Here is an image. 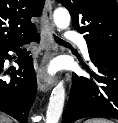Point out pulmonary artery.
Listing matches in <instances>:
<instances>
[{"label": "pulmonary artery", "mask_w": 118, "mask_h": 123, "mask_svg": "<svg viewBox=\"0 0 118 123\" xmlns=\"http://www.w3.org/2000/svg\"><path fill=\"white\" fill-rule=\"evenodd\" d=\"M67 38H69L71 40H74L76 42V44L79 46V48L81 49L83 55L87 59L90 58L87 42L83 37H81L79 35H76V34H73V33H69V34H67Z\"/></svg>", "instance_id": "e3ab8cb5"}]
</instances>
